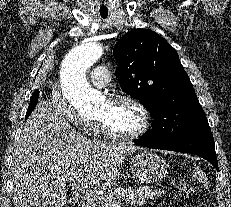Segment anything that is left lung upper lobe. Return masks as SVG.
Masks as SVG:
<instances>
[{
    "instance_id": "1",
    "label": "left lung upper lobe",
    "mask_w": 231,
    "mask_h": 207,
    "mask_svg": "<svg viewBox=\"0 0 231 207\" xmlns=\"http://www.w3.org/2000/svg\"><path fill=\"white\" fill-rule=\"evenodd\" d=\"M113 54L122 90L154 117L152 130L142 137L168 143L211 132L179 56L165 39L151 30L136 29L116 43Z\"/></svg>"
}]
</instances>
